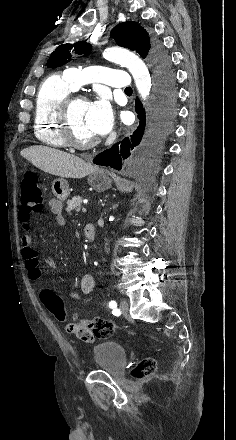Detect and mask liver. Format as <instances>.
<instances>
[{
  "instance_id": "6515ba94",
  "label": "liver",
  "mask_w": 236,
  "mask_h": 440,
  "mask_svg": "<svg viewBox=\"0 0 236 440\" xmlns=\"http://www.w3.org/2000/svg\"><path fill=\"white\" fill-rule=\"evenodd\" d=\"M21 155L40 170L62 178L81 179L97 169L79 157L45 146L26 148Z\"/></svg>"
}]
</instances>
